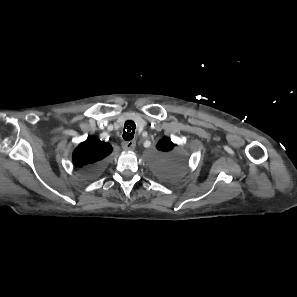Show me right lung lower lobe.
<instances>
[{
	"label": "right lung lower lobe",
	"instance_id": "98d812e1",
	"mask_svg": "<svg viewBox=\"0 0 297 297\" xmlns=\"http://www.w3.org/2000/svg\"><path fill=\"white\" fill-rule=\"evenodd\" d=\"M104 163H98L92 167L87 168V173L90 178L96 177L99 175L103 169Z\"/></svg>",
	"mask_w": 297,
	"mask_h": 297
}]
</instances>
